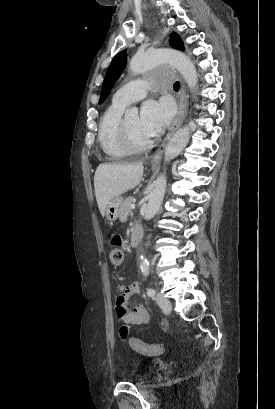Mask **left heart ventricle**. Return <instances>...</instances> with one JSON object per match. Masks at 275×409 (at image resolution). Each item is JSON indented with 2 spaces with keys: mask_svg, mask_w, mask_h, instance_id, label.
Here are the masks:
<instances>
[{
  "mask_svg": "<svg viewBox=\"0 0 275 409\" xmlns=\"http://www.w3.org/2000/svg\"><path fill=\"white\" fill-rule=\"evenodd\" d=\"M126 122L135 143L138 145H144L152 140V138L147 136L141 129L139 117L137 115L127 118Z\"/></svg>",
  "mask_w": 275,
  "mask_h": 409,
  "instance_id": "left-heart-ventricle-1",
  "label": "left heart ventricle"
}]
</instances>
